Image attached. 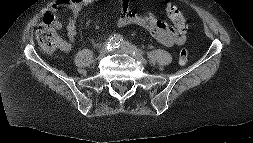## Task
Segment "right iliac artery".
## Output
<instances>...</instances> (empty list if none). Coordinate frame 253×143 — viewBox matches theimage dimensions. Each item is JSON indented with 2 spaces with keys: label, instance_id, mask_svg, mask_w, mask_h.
<instances>
[{
  "label": "right iliac artery",
  "instance_id": "obj_1",
  "mask_svg": "<svg viewBox=\"0 0 253 143\" xmlns=\"http://www.w3.org/2000/svg\"><path fill=\"white\" fill-rule=\"evenodd\" d=\"M123 41L122 36L120 35H114L106 43V49L112 50L113 48L119 47V44Z\"/></svg>",
  "mask_w": 253,
  "mask_h": 143
}]
</instances>
